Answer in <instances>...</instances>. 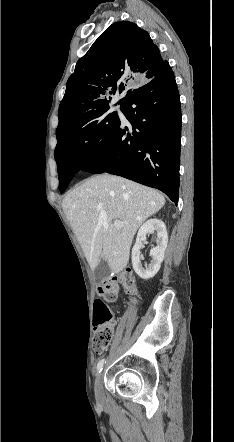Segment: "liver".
<instances>
[{"label":"liver","instance_id":"obj_1","mask_svg":"<svg viewBox=\"0 0 234 442\" xmlns=\"http://www.w3.org/2000/svg\"><path fill=\"white\" fill-rule=\"evenodd\" d=\"M164 204V196L154 189L103 174L69 192L62 207L92 271L105 259L119 273L128 264L137 229ZM115 220L127 224L117 229Z\"/></svg>","mask_w":234,"mask_h":442}]
</instances>
